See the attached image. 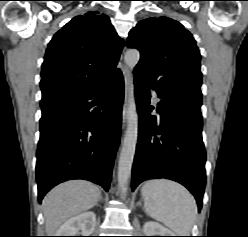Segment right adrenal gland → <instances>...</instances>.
<instances>
[{"instance_id":"obj_1","label":"right adrenal gland","mask_w":248,"mask_h":237,"mask_svg":"<svg viewBox=\"0 0 248 237\" xmlns=\"http://www.w3.org/2000/svg\"><path fill=\"white\" fill-rule=\"evenodd\" d=\"M98 201H102V196H101V194H100V196H99V200ZM98 203H96V205H97Z\"/></svg>"}]
</instances>
